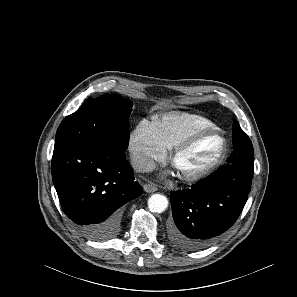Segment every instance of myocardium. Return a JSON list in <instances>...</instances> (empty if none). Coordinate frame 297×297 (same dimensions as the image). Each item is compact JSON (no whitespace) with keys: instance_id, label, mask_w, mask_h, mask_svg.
<instances>
[{"instance_id":"f54148a6","label":"myocardium","mask_w":297,"mask_h":297,"mask_svg":"<svg viewBox=\"0 0 297 297\" xmlns=\"http://www.w3.org/2000/svg\"><path fill=\"white\" fill-rule=\"evenodd\" d=\"M207 135H216L221 142V148L217 155V157L214 159V161L208 165L203 170L190 175H181L179 174V178L186 183H195L198 182L206 177H208L210 174H212L224 161L226 157L227 152V142L224 137V135L217 129V128H206V129H199L188 136H186L183 140H181L171 151L170 153V163L174 165L175 160L177 157L188 150L198 139L207 136Z\"/></svg>"}]
</instances>
